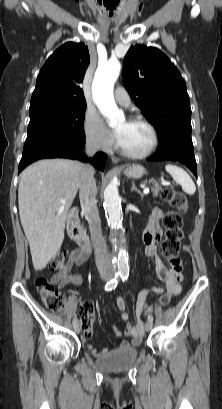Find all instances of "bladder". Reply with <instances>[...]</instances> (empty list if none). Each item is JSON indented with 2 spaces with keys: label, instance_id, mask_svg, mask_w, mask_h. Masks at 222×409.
I'll return each mask as SVG.
<instances>
[{
  "label": "bladder",
  "instance_id": "bladder-1",
  "mask_svg": "<svg viewBox=\"0 0 222 409\" xmlns=\"http://www.w3.org/2000/svg\"><path fill=\"white\" fill-rule=\"evenodd\" d=\"M137 355L138 349L136 347H119L98 358L96 365L104 372H122L133 366Z\"/></svg>",
  "mask_w": 222,
  "mask_h": 409
}]
</instances>
